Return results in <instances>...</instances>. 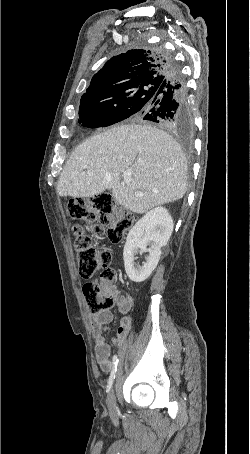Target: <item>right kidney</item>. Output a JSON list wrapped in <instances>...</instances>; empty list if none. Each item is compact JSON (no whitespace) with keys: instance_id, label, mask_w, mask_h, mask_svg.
<instances>
[{"instance_id":"right-kidney-1","label":"right kidney","mask_w":250,"mask_h":454,"mask_svg":"<svg viewBox=\"0 0 250 454\" xmlns=\"http://www.w3.org/2000/svg\"><path fill=\"white\" fill-rule=\"evenodd\" d=\"M173 227V219L168 210L156 207L147 212L129 231L123 259L125 271L131 281L140 283L151 275L159 262L161 248L167 244ZM138 252H149L142 266L134 263Z\"/></svg>"}]
</instances>
